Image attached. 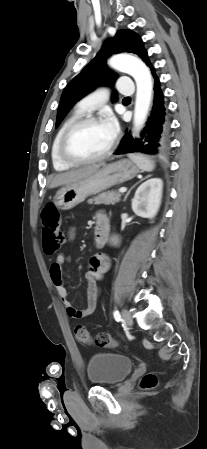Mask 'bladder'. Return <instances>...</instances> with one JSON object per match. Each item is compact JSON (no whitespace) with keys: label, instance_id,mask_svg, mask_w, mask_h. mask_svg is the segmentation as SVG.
<instances>
[{"label":"bladder","instance_id":"1","mask_svg":"<svg viewBox=\"0 0 207 449\" xmlns=\"http://www.w3.org/2000/svg\"><path fill=\"white\" fill-rule=\"evenodd\" d=\"M131 358L116 353H94L87 362V376L92 384L113 386L121 383L133 370Z\"/></svg>","mask_w":207,"mask_h":449}]
</instances>
